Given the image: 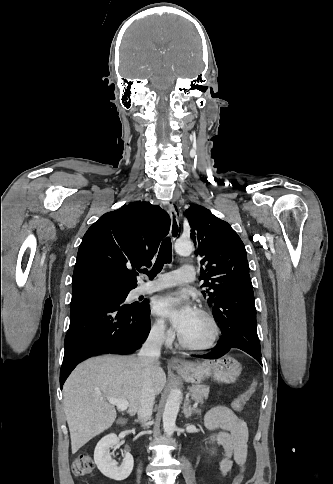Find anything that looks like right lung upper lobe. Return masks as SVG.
Here are the masks:
<instances>
[{
  "label": "right lung upper lobe",
  "mask_w": 333,
  "mask_h": 484,
  "mask_svg": "<svg viewBox=\"0 0 333 484\" xmlns=\"http://www.w3.org/2000/svg\"><path fill=\"white\" fill-rule=\"evenodd\" d=\"M169 228V215L149 202H132L102 215L89 227L79 246L72 292L134 289L137 271L151 264Z\"/></svg>",
  "instance_id": "1"
}]
</instances>
